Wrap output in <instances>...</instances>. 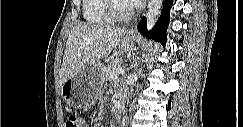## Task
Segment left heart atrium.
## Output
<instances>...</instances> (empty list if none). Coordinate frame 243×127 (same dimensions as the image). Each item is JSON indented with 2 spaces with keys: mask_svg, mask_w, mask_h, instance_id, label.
Masks as SVG:
<instances>
[{
  "mask_svg": "<svg viewBox=\"0 0 243 127\" xmlns=\"http://www.w3.org/2000/svg\"><path fill=\"white\" fill-rule=\"evenodd\" d=\"M127 2L136 6V5L140 4L142 1L141 0H128Z\"/></svg>",
  "mask_w": 243,
  "mask_h": 127,
  "instance_id": "obj_1",
  "label": "left heart atrium"
}]
</instances>
